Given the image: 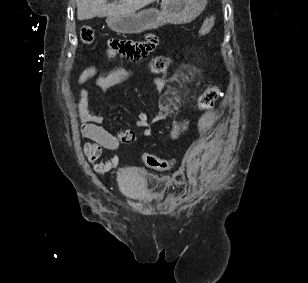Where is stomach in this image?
<instances>
[{
	"label": "stomach",
	"mask_w": 308,
	"mask_h": 283,
	"mask_svg": "<svg viewBox=\"0 0 308 283\" xmlns=\"http://www.w3.org/2000/svg\"><path fill=\"white\" fill-rule=\"evenodd\" d=\"M206 4L207 0H162L160 11L150 8L129 15L108 16L106 23L112 31L137 34L166 23H189L200 15Z\"/></svg>",
	"instance_id": "1"
}]
</instances>
